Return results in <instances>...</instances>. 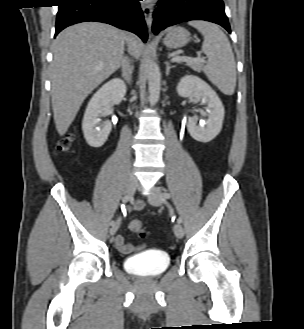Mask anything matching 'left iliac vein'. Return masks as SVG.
Here are the masks:
<instances>
[{"instance_id": "obj_1", "label": "left iliac vein", "mask_w": 304, "mask_h": 329, "mask_svg": "<svg viewBox=\"0 0 304 329\" xmlns=\"http://www.w3.org/2000/svg\"><path fill=\"white\" fill-rule=\"evenodd\" d=\"M148 199L151 205L160 206L164 202L161 189L158 187H154L152 190V194L148 196ZM174 233L177 238H182L184 236V229L181 224L177 223L174 226Z\"/></svg>"}]
</instances>
